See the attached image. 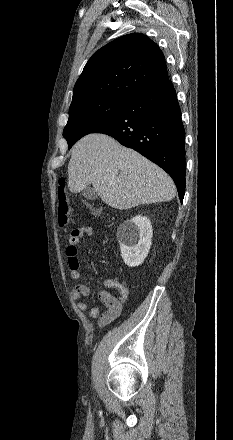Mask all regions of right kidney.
Here are the masks:
<instances>
[{
  "mask_svg": "<svg viewBox=\"0 0 233 440\" xmlns=\"http://www.w3.org/2000/svg\"><path fill=\"white\" fill-rule=\"evenodd\" d=\"M152 236L151 222L145 216L137 215L119 226L117 238L126 265L136 267L143 263L150 250Z\"/></svg>",
  "mask_w": 233,
  "mask_h": 440,
  "instance_id": "1",
  "label": "right kidney"
}]
</instances>
